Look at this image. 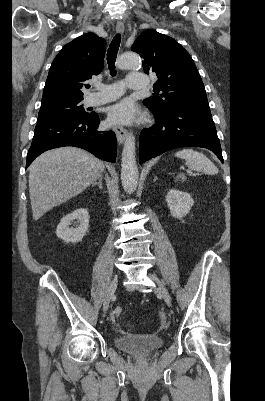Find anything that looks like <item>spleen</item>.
<instances>
[{
    "instance_id": "3e777b00",
    "label": "spleen",
    "mask_w": 265,
    "mask_h": 401,
    "mask_svg": "<svg viewBox=\"0 0 265 401\" xmlns=\"http://www.w3.org/2000/svg\"><path fill=\"white\" fill-rule=\"evenodd\" d=\"M174 156H179V158H185V164H187L190 170H198V172H205V174H217L218 168L205 156L202 152H197L193 148H182L175 152ZM184 180V174H178L176 180Z\"/></svg>"
}]
</instances>
